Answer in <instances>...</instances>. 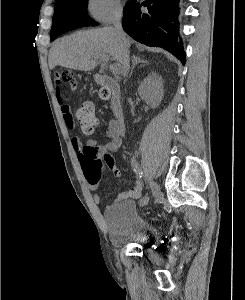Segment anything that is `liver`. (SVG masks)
<instances>
[{
    "instance_id": "6515ba94",
    "label": "liver",
    "mask_w": 245,
    "mask_h": 300,
    "mask_svg": "<svg viewBox=\"0 0 245 300\" xmlns=\"http://www.w3.org/2000/svg\"><path fill=\"white\" fill-rule=\"evenodd\" d=\"M125 44L129 49L132 40L124 36L122 41L112 27L78 31L55 42L49 51V68L59 65L90 71L101 57L106 56L116 61L124 71Z\"/></svg>"
}]
</instances>
